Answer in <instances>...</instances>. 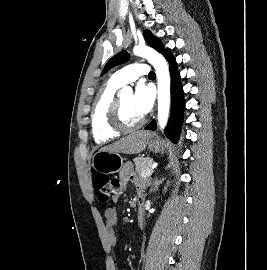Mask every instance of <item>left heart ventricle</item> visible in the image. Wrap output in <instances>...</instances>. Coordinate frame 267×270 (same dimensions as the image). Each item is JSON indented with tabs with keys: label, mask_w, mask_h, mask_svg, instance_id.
<instances>
[{
	"label": "left heart ventricle",
	"mask_w": 267,
	"mask_h": 270,
	"mask_svg": "<svg viewBox=\"0 0 267 270\" xmlns=\"http://www.w3.org/2000/svg\"><path fill=\"white\" fill-rule=\"evenodd\" d=\"M120 103L122 108V116L126 123L134 124L142 118L134 109L132 95L121 97Z\"/></svg>",
	"instance_id": "left-heart-ventricle-1"
}]
</instances>
